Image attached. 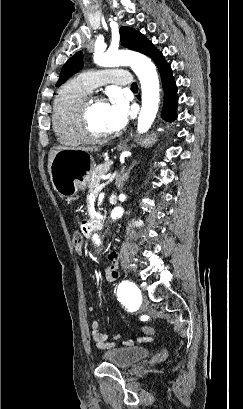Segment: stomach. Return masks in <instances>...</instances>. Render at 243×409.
Instances as JSON below:
<instances>
[{
	"label": "stomach",
	"mask_w": 243,
	"mask_h": 409,
	"mask_svg": "<svg viewBox=\"0 0 243 409\" xmlns=\"http://www.w3.org/2000/svg\"><path fill=\"white\" fill-rule=\"evenodd\" d=\"M155 142L150 135L139 143L149 147ZM121 151H126V144L119 145ZM95 169L92 157L74 149L60 150L51 163V182L54 189L62 196H73L86 188L91 172Z\"/></svg>",
	"instance_id": "stomach-1"
}]
</instances>
